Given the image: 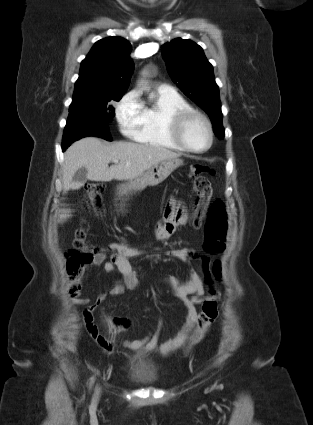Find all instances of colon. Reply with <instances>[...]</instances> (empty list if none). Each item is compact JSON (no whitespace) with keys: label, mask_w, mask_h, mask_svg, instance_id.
<instances>
[{"label":"colon","mask_w":313,"mask_h":425,"mask_svg":"<svg viewBox=\"0 0 313 425\" xmlns=\"http://www.w3.org/2000/svg\"><path fill=\"white\" fill-rule=\"evenodd\" d=\"M213 173V169L204 164L193 165L189 170V176L196 193L194 203V224L196 226L200 225L205 211H207L205 243L203 247V251L206 254H219L224 251L228 230V220L224 203L221 200H215L208 207V202L213 194V188L210 180L205 175H212ZM103 190V184L97 182L86 186V195L91 205L100 208ZM87 231L88 224L82 222L75 230L72 248L66 254V267L70 279L69 292L73 296L79 294L81 291L82 278L88 267L94 262V256L96 254V250L87 246L85 243ZM189 258L199 260L206 296L218 302L221 294L215 286V281L222 277L221 262L215 261L210 266L208 256L201 255L196 251H191Z\"/></svg>","instance_id":"obj_1"}]
</instances>
